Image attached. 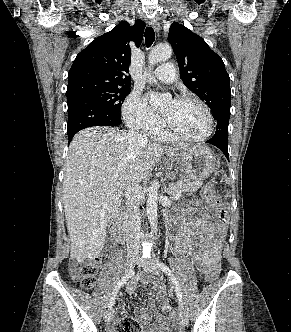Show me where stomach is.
<instances>
[{
  "instance_id": "stomach-1",
  "label": "stomach",
  "mask_w": 291,
  "mask_h": 332,
  "mask_svg": "<svg viewBox=\"0 0 291 332\" xmlns=\"http://www.w3.org/2000/svg\"><path fill=\"white\" fill-rule=\"evenodd\" d=\"M169 160L184 170L192 180H205L216 168V158L206 146L185 147L167 154Z\"/></svg>"
}]
</instances>
